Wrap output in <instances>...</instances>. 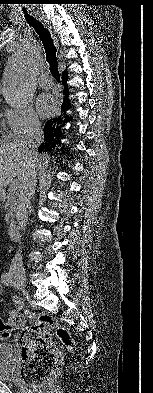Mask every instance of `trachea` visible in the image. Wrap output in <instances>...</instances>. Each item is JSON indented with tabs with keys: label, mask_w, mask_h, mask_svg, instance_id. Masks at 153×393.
<instances>
[{
	"label": "trachea",
	"mask_w": 153,
	"mask_h": 393,
	"mask_svg": "<svg viewBox=\"0 0 153 393\" xmlns=\"http://www.w3.org/2000/svg\"><path fill=\"white\" fill-rule=\"evenodd\" d=\"M25 18L27 23L34 28L40 40L42 41L46 53V60L50 65V72L53 77L59 82L60 73L58 70V62L56 57L57 49L54 45L49 30L39 20L29 16L28 14L25 15Z\"/></svg>",
	"instance_id": "3493384b"
}]
</instances>
